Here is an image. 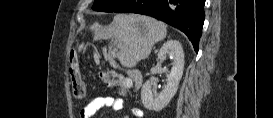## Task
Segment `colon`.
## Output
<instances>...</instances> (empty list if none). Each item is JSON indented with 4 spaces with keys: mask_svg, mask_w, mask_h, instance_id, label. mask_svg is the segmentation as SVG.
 Here are the masks:
<instances>
[{
    "mask_svg": "<svg viewBox=\"0 0 273 118\" xmlns=\"http://www.w3.org/2000/svg\"><path fill=\"white\" fill-rule=\"evenodd\" d=\"M73 52L75 55L70 57L68 66L69 83L75 97L82 99L85 95V85L78 66L77 51L73 50ZM99 78L106 86L121 90H126L130 85L127 78L114 72L101 73Z\"/></svg>",
    "mask_w": 273,
    "mask_h": 118,
    "instance_id": "1",
    "label": "colon"
}]
</instances>
